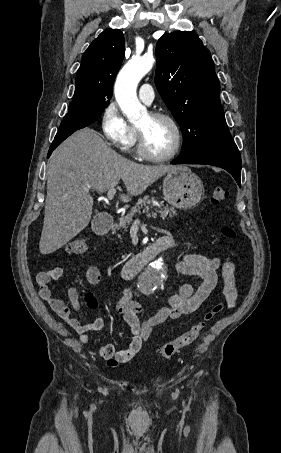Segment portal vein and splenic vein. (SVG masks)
<instances>
[{
  "instance_id": "1",
  "label": "portal vein and splenic vein",
  "mask_w": 281,
  "mask_h": 453,
  "mask_svg": "<svg viewBox=\"0 0 281 453\" xmlns=\"http://www.w3.org/2000/svg\"><path fill=\"white\" fill-rule=\"evenodd\" d=\"M88 190V188H87ZM114 194H116V188H109L108 192H107V198L108 200H112V198H114ZM138 220V218H137ZM137 220H135V222H137Z\"/></svg>"
}]
</instances>
